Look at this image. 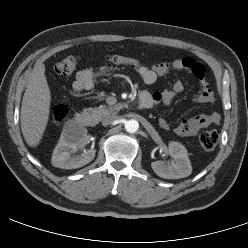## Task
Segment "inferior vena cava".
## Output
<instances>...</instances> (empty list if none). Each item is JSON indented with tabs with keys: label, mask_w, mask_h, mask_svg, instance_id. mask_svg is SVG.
I'll use <instances>...</instances> for the list:
<instances>
[{
	"label": "inferior vena cava",
	"mask_w": 248,
	"mask_h": 248,
	"mask_svg": "<svg viewBox=\"0 0 248 248\" xmlns=\"http://www.w3.org/2000/svg\"><path fill=\"white\" fill-rule=\"evenodd\" d=\"M118 119H119V116H117V115H109V116H106V117L102 120V125H103V126L110 125V124L114 123L115 121H117Z\"/></svg>",
	"instance_id": "1"
}]
</instances>
